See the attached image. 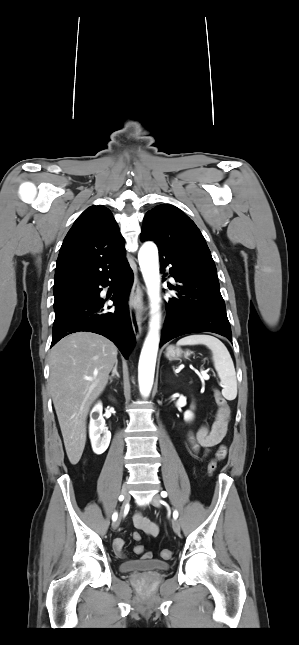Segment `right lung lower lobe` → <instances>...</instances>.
<instances>
[{"label":"right lung lower lobe","mask_w":299,"mask_h":645,"mask_svg":"<svg viewBox=\"0 0 299 645\" xmlns=\"http://www.w3.org/2000/svg\"><path fill=\"white\" fill-rule=\"evenodd\" d=\"M111 279L112 281H109ZM133 272L125 260L115 271L87 284L85 296L55 315L51 347L61 338L74 332H94L113 341L123 356L135 344V336L129 316L127 299L133 284ZM116 283L111 300L114 312H103L105 301L100 298L101 288Z\"/></svg>","instance_id":"right-lung-lower-lobe-1"}]
</instances>
